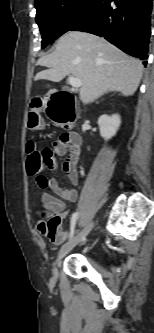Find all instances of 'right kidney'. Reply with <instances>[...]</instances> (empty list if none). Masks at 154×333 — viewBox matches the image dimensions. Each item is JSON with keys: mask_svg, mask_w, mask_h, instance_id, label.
Wrapping results in <instances>:
<instances>
[{"mask_svg": "<svg viewBox=\"0 0 154 333\" xmlns=\"http://www.w3.org/2000/svg\"><path fill=\"white\" fill-rule=\"evenodd\" d=\"M100 134L105 140L112 138L120 127L121 120L118 114L102 115L98 119Z\"/></svg>", "mask_w": 154, "mask_h": 333, "instance_id": "right-kidney-1", "label": "right kidney"}]
</instances>
